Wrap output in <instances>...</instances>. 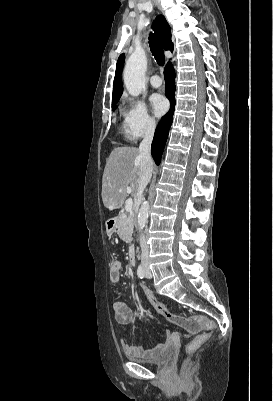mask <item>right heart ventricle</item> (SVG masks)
<instances>
[{"label": "right heart ventricle", "instance_id": "obj_1", "mask_svg": "<svg viewBox=\"0 0 273 401\" xmlns=\"http://www.w3.org/2000/svg\"><path fill=\"white\" fill-rule=\"evenodd\" d=\"M123 110H124L123 108H120V111H121V112H123Z\"/></svg>", "mask_w": 273, "mask_h": 401}]
</instances>
